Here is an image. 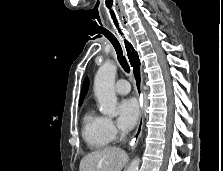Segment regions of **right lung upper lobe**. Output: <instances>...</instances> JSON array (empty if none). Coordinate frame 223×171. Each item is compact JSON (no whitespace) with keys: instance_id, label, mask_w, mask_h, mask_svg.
<instances>
[{"instance_id":"right-lung-upper-lobe-1","label":"right lung upper lobe","mask_w":223,"mask_h":171,"mask_svg":"<svg viewBox=\"0 0 223 171\" xmlns=\"http://www.w3.org/2000/svg\"><path fill=\"white\" fill-rule=\"evenodd\" d=\"M89 88V80L88 77L85 78L84 83H83V87H82V93H81V97H80V101H79V105L82 104L84 97L88 91Z\"/></svg>"}]
</instances>
